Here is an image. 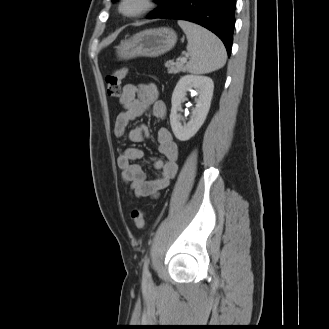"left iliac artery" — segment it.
<instances>
[{
    "mask_svg": "<svg viewBox=\"0 0 329 329\" xmlns=\"http://www.w3.org/2000/svg\"><path fill=\"white\" fill-rule=\"evenodd\" d=\"M148 264H149V260H148V258H146L145 259V262H144V266H143V274L146 277H149L150 276V272H149V269H148Z\"/></svg>",
    "mask_w": 329,
    "mask_h": 329,
    "instance_id": "obj_1",
    "label": "left iliac artery"
}]
</instances>
